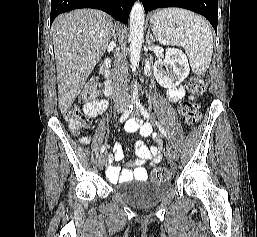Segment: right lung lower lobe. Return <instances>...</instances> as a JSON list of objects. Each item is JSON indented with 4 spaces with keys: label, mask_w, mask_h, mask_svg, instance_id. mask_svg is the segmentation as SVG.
<instances>
[{
    "label": "right lung lower lobe",
    "mask_w": 257,
    "mask_h": 237,
    "mask_svg": "<svg viewBox=\"0 0 257 237\" xmlns=\"http://www.w3.org/2000/svg\"><path fill=\"white\" fill-rule=\"evenodd\" d=\"M134 2L135 0H52L50 24L59 14L79 8L100 9L126 24Z\"/></svg>",
    "instance_id": "98d812e1"
}]
</instances>
